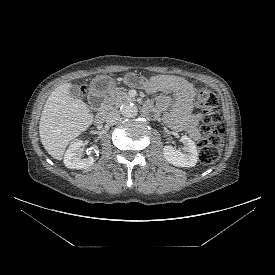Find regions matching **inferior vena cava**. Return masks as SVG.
Here are the masks:
<instances>
[{"mask_svg": "<svg viewBox=\"0 0 275 275\" xmlns=\"http://www.w3.org/2000/svg\"><path fill=\"white\" fill-rule=\"evenodd\" d=\"M120 119V113L117 110H112L106 115V122L109 125L116 124Z\"/></svg>", "mask_w": 275, "mask_h": 275, "instance_id": "obj_1", "label": "inferior vena cava"}]
</instances>
